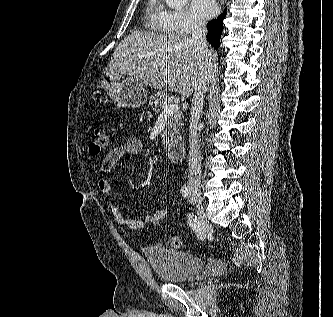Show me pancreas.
I'll list each match as a JSON object with an SVG mask.
<instances>
[{
  "instance_id": "cf45deb5",
  "label": "pancreas",
  "mask_w": 333,
  "mask_h": 317,
  "mask_svg": "<svg viewBox=\"0 0 333 317\" xmlns=\"http://www.w3.org/2000/svg\"><path fill=\"white\" fill-rule=\"evenodd\" d=\"M172 103V100L168 96L166 92H157L156 94L151 96V101L149 102L150 106H153V111L158 113L163 110L165 105H169ZM183 123V116L181 112H176L175 114L170 116L168 120L165 130L162 134L163 145H167L173 138L177 137V134L180 131V127Z\"/></svg>"
}]
</instances>
